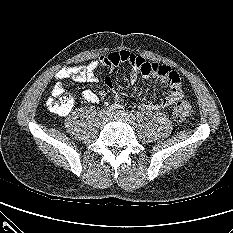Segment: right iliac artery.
<instances>
[{
    "mask_svg": "<svg viewBox=\"0 0 233 233\" xmlns=\"http://www.w3.org/2000/svg\"><path fill=\"white\" fill-rule=\"evenodd\" d=\"M115 109H116V107L114 105H111L108 107L109 112H113V111H115Z\"/></svg>",
    "mask_w": 233,
    "mask_h": 233,
    "instance_id": "1",
    "label": "right iliac artery"
}]
</instances>
